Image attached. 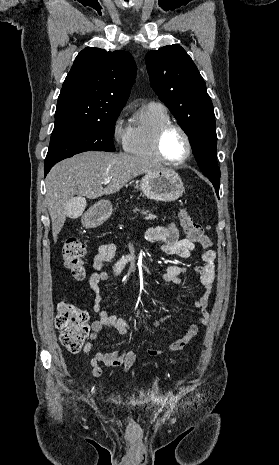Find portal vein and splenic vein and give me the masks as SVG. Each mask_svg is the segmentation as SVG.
Returning <instances> with one entry per match:
<instances>
[{
  "label": "portal vein and splenic vein",
  "mask_w": 279,
  "mask_h": 465,
  "mask_svg": "<svg viewBox=\"0 0 279 465\" xmlns=\"http://www.w3.org/2000/svg\"><path fill=\"white\" fill-rule=\"evenodd\" d=\"M109 182H110V178H107L104 183L107 184Z\"/></svg>",
  "instance_id": "18ae733b"
}]
</instances>
